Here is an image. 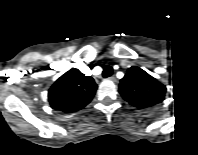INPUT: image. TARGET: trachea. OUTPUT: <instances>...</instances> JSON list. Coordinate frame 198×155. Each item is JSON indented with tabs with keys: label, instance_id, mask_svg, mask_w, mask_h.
Returning a JSON list of instances; mask_svg holds the SVG:
<instances>
[{
	"label": "trachea",
	"instance_id": "3493384b",
	"mask_svg": "<svg viewBox=\"0 0 198 155\" xmlns=\"http://www.w3.org/2000/svg\"><path fill=\"white\" fill-rule=\"evenodd\" d=\"M112 75V68L110 66H106L103 71V77L107 78Z\"/></svg>",
	"mask_w": 198,
	"mask_h": 155
}]
</instances>
